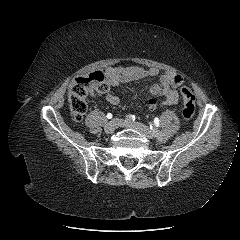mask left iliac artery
<instances>
[{
    "mask_svg": "<svg viewBox=\"0 0 240 240\" xmlns=\"http://www.w3.org/2000/svg\"><path fill=\"white\" fill-rule=\"evenodd\" d=\"M150 129L158 138H161L163 136V133L161 131H157L156 127L153 124L150 125Z\"/></svg>",
    "mask_w": 240,
    "mask_h": 240,
    "instance_id": "44dca946",
    "label": "left iliac artery"
}]
</instances>
